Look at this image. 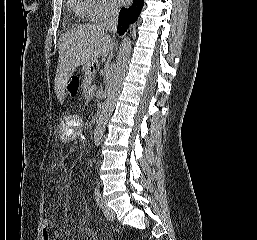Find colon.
I'll return each instance as SVG.
<instances>
[{
	"instance_id": "colon-1",
	"label": "colon",
	"mask_w": 257,
	"mask_h": 240,
	"mask_svg": "<svg viewBox=\"0 0 257 240\" xmlns=\"http://www.w3.org/2000/svg\"><path fill=\"white\" fill-rule=\"evenodd\" d=\"M81 80L77 76H73L67 85V91L70 96L75 97L79 93ZM40 234L42 240H49L50 239V232H49V220L47 217H44L41 221L40 225Z\"/></svg>"
}]
</instances>
